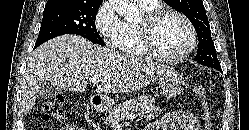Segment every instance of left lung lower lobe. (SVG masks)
I'll list each match as a JSON object with an SVG mask.
<instances>
[{
  "mask_svg": "<svg viewBox=\"0 0 249 130\" xmlns=\"http://www.w3.org/2000/svg\"><path fill=\"white\" fill-rule=\"evenodd\" d=\"M217 70H219L220 72H222V69H221V68H219V69H217Z\"/></svg>",
  "mask_w": 249,
  "mask_h": 130,
  "instance_id": "1",
  "label": "left lung lower lobe"
}]
</instances>
